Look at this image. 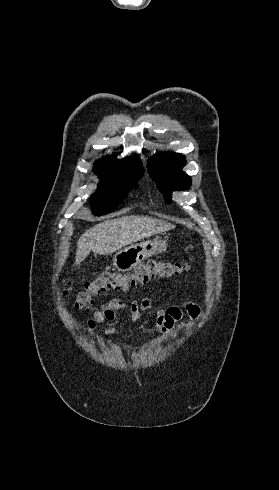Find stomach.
I'll return each instance as SVG.
<instances>
[{"mask_svg": "<svg viewBox=\"0 0 279 490\" xmlns=\"http://www.w3.org/2000/svg\"><path fill=\"white\" fill-rule=\"evenodd\" d=\"M167 248L166 240H147V242H141V244L129 246V248L117 252L112 260V266L118 272H130L138 264H143L147 258L166 252Z\"/></svg>", "mask_w": 279, "mask_h": 490, "instance_id": "0dacf381", "label": "stomach"}]
</instances>
